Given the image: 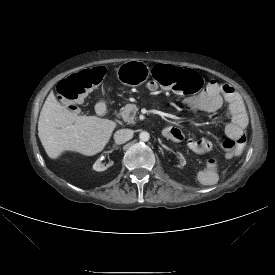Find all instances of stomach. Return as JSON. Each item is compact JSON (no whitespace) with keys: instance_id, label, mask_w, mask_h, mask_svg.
I'll list each match as a JSON object with an SVG mask.
<instances>
[{"instance_id":"1","label":"stomach","mask_w":275,"mask_h":275,"mask_svg":"<svg viewBox=\"0 0 275 275\" xmlns=\"http://www.w3.org/2000/svg\"><path fill=\"white\" fill-rule=\"evenodd\" d=\"M149 74V67L138 60L126 61L116 69L117 79L127 86L141 85L148 79Z\"/></svg>"}]
</instances>
